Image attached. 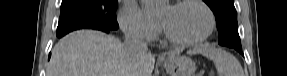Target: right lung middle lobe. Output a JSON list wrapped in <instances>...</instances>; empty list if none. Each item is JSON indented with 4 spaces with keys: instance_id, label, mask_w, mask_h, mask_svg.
Returning a JSON list of instances; mask_svg holds the SVG:
<instances>
[{
    "instance_id": "obj_1",
    "label": "right lung middle lobe",
    "mask_w": 287,
    "mask_h": 76,
    "mask_svg": "<svg viewBox=\"0 0 287 76\" xmlns=\"http://www.w3.org/2000/svg\"><path fill=\"white\" fill-rule=\"evenodd\" d=\"M117 0H62L57 36L82 28L118 29Z\"/></svg>"
}]
</instances>
